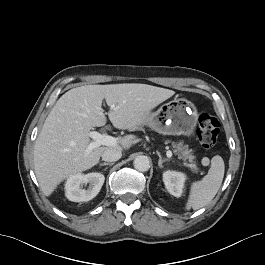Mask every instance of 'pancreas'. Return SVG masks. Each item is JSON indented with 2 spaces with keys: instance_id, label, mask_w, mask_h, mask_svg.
<instances>
[{
  "instance_id": "pancreas-1",
  "label": "pancreas",
  "mask_w": 265,
  "mask_h": 265,
  "mask_svg": "<svg viewBox=\"0 0 265 265\" xmlns=\"http://www.w3.org/2000/svg\"><path fill=\"white\" fill-rule=\"evenodd\" d=\"M173 148V152L178 155L179 159L184 161L186 166L190 167L193 171L197 170L196 166L193 164L194 156L192 155V150L188 148V145H184L182 142L178 144L173 143Z\"/></svg>"
}]
</instances>
